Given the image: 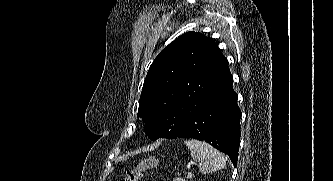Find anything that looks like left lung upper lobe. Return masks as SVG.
<instances>
[{
	"label": "left lung upper lobe",
	"mask_w": 333,
	"mask_h": 181,
	"mask_svg": "<svg viewBox=\"0 0 333 181\" xmlns=\"http://www.w3.org/2000/svg\"><path fill=\"white\" fill-rule=\"evenodd\" d=\"M229 72L228 60L211 38L187 32L164 48L145 78L137 116L151 140L174 134L172 120L197 111Z\"/></svg>",
	"instance_id": "obj_1"
}]
</instances>
